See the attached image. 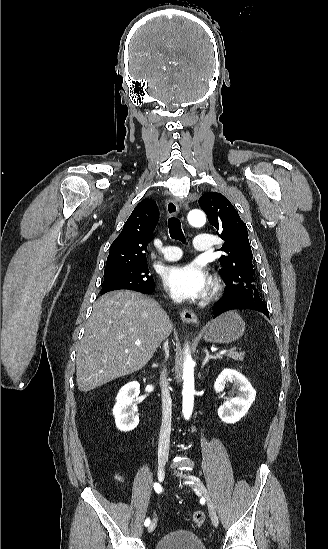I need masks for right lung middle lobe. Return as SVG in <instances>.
I'll return each mask as SVG.
<instances>
[{
  "label": "right lung middle lobe",
  "mask_w": 328,
  "mask_h": 549,
  "mask_svg": "<svg viewBox=\"0 0 328 549\" xmlns=\"http://www.w3.org/2000/svg\"><path fill=\"white\" fill-rule=\"evenodd\" d=\"M155 287L147 263L104 271L101 295L120 289L147 291Z\"/></svg>",
  "instance_id": "obj_1"
}]
</instances>
